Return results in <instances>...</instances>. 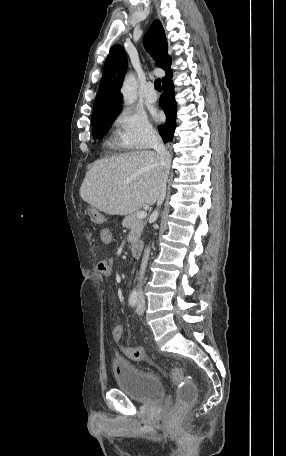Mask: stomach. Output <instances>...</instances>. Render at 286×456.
Returning <instances> with one entry per match:
<instances>
[{
  "mask_svg": "<svg viewBox=\"0 0 286 456\" xmlns=\"http://www.w3.org/2000/svg\"><path fill=\"white\" fill-rule=\"evenodd\" d=\"M89 214H90L92 220H94V221H95V220L97 219V217L99 216L98 211H97L94 207H92V208L89 209Z\"/></svg>",
  "mask_w": 286,
  "mask_h": 456,
  "instance_id": "1",
  "label": "stomach"
}]
</instances>
